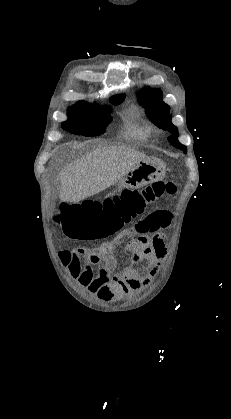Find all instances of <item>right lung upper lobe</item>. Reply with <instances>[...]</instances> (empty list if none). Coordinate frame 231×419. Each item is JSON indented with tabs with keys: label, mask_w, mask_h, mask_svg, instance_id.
Wrapping results in <instances>:
<instances>
[{
	"label": "right lung upper lobe",
	"mask_w": 231,
	"mask_h": 419,
	"mask_svg": "<svg viewBox=\"0 0 231 419\" xmlns=\"http://www.w3.org/2000/svg\"><path fill=\"white\" fill-rule=\"evenodd\" d=\"M124 97H125V95L115 96V97L111 98V101H114L116 99H121V98H124ZM78 103H86V102L85 101H79Z\"/></svg>",
	"instance_id": "right-lung-upper-lobe-1"
}]
</instances>
